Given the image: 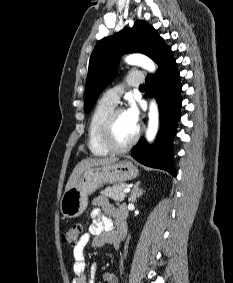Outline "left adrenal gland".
<instances>
[{
	"label": "left adrenal gland",
	"instance_id": "1",
	"mask_svg": "<svg viewBox=\"0 0 233 283\" xmlns=\"http://www.w3.org/2000/svg\"><path fill=\"white\" fill-rule=\"evenodd\" d=\"M139 185H140V181H138L133 187L130 194L129 202H135L136 199L139 198L144 193V190L139 189Z\"/></svg>",
	"mask_w": 233,
	"mask_h": 283
}]
</instances>
